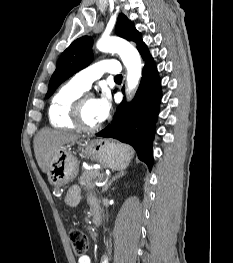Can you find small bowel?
<instances>
[{
	"mask_svg": "<svg viewBox=\"0 0 233 263\" xmlns=\"http://www.w3.org/2000/svg\"><path fill=\"white\" fill-rule=\"evenodd\" d=\"M80 200V191L78 187H72L66 197L65 201L69 205H76L78 204ZM92 203H97V201L94 198H89V204L92 208ZM77 263H93L92 257L90 255H85L77 260ZM101 263H109V258L107 255H103L101 259Z\"/></svg>",
	"mask_w": 233,
	"mask_h": 263,
	"instance_id": "c3829d8e",
	"label": "small bowel"
}]
</instances>
